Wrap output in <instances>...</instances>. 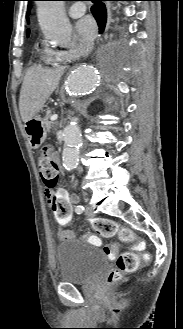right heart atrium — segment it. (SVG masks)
<instances>
[{
	"label": "right heart atrium",
	"instance_id": "right-heart-atrium-1",
	"mask_svg": "<svg viewBox=\"0 0 183 329\" xmlns=\"http://www.w3.org/2000/svg\"><path fill=\"white\" fill-rule=\"evenodd\" d=\"M85 47H86V45H84L83 43L77 42L73 48L58 51L59 59L60 60L72 59V58L78 56L80 54L81 50Z\"/></svg>",
	"mask_w": 183,
	"mask_h": 329
}]
</instances>
